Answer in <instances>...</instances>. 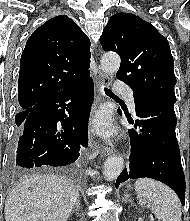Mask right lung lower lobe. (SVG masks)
I'll return each mask as SVG.
<instances>
[{
  "label": "right lung lower lobe",
  "instance_id": "obj_1",
  "mask_svg": "<svg viewBox=\"0 0 190 221\" xmlns=\"http://www.w3.org/2000/svg\"><path fill=\"white\" fill-rule=\"evenodd\" d=\"M94 99L92 78L51 94L25 112L11 156L14 168L66 166L88 145V119Z\"/></svg>",
  "mask_w": 190,
  "mask_h": 221
}]
</instances>
